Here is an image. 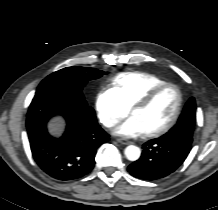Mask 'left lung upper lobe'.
I'll return each instance as SVG.
<instances>
[{
    "label": "left lung upper lobe",
    "instance_id": "1",
    "mask_svg": "<svg viewBox=\"0 0 218 210\" xmlns=\"http://www.w3.org/2000/svg\"><path fill=\"white\" fill-rule=\"evenodd\" d=\"M196 122V104L195 99L191 97L184 107V110L177 122V124L166 133L165 137L176 138L183 134L185 130L192 136L194 131V126Z\"/></svg>",
    "mask_w": 218,
    "mask_h": 210
}]
</instances>
